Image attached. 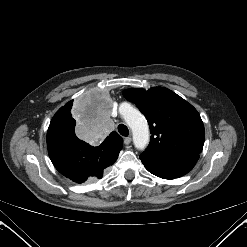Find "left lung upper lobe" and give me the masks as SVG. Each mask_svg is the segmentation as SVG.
Returning <instances> with one entry per match:
<instances>
[{"label":"left lung upper lobe","mask_w":247,"mask_h":247,"mask_svg":"<svg viewBox=\"0 0 247 247\" xmlns=\"http://www.w3.org/2000/svg\"><path fill=\"white\" fill-rule=\"evenodd\" d=\"M124 97L139 108L150 126L151 139L146 152L166 155H199L205 131L197 110L173 91L154 87L126 89Z\"/></svg>","instance_id":"5c2ea615"}]
</instances>
